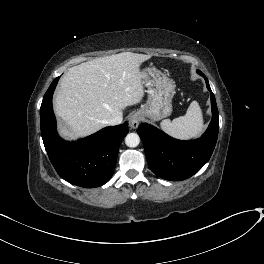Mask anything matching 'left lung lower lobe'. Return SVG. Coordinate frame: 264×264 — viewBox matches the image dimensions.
<instances>
[{"mask_svg": "<svg viewBox=\"0 0 264 264\" xmlns=\"http://www.w3.org/2000/svg\"><path fill=\"white\" fill-rule=\"evenodd\" d=\"M199 74L206 81L212 105V120L203 136L197 140L180 141L146 123H142L137 130L149 167L157 176L166 180L180 181L197 173L208 162L216 145L218 109L207 78L202 72Z\"/></svg>", "mask_w": 264, "mask_h": 264, "instance_id": "1", "label": "left lung lower lobe"}]
</instances>
